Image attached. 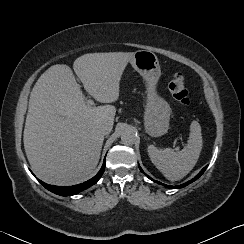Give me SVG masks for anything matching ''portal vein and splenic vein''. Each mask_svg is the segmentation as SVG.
<instances>
[{
	"label": "portal vein and splenic vein",
	"instance_id": "18ae733b",
	"mask_svg": "<svg viewBox=\"0 0 244 244\" xmlns=\"http://www.w3.org/2000/svg\"><path fill=\"white\" fill-rule=\"evenodd\" d=\"M86 103H87V105H93L94 104V101L91 100V99H89V100L86 101ZM175 149L176 150H179V147H176Z\"/></svg>",
	"mask_w": 244,
	"mask_h": 244
}]
</instances>
